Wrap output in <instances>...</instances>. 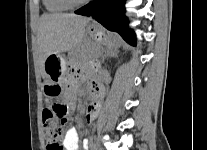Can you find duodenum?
I'll list each match as a JSON object with an SVG mask.
<instances>
[{"label": "duodenum", "instance_id": "duodenum-1", "mask_svg": "<svg viewBox=\"0 0 207 150\" xmlns=\"http://www.w3.org/2000/svg\"><path fill=\"white\" fill-rule=\"evenodd\" d=\"M100 87L97 83H93L91 86L93 101L96 100L97 92L99 91Z\"/></svg>", "mask_w": 207, "mask_h": 150}]
</instances>
